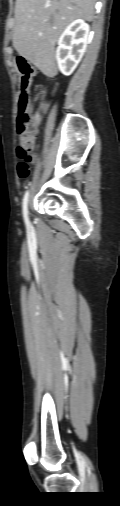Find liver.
Masks as SVG:
<instances>
[{"label":"liver","instance_id":"liver-1","mask_svg":"<svg viewBox=\"0 0 120 506\" xmlns=\"http://www.w3.org/2000/svg\"><path fill=\"white\" fill-rule=\"evenodd\" d=\"M96 0H16L13 47L46 75L57 73L55 45L74 20L94 19Z\"/></svg>","mask_w":120,"mask_h":506}]
</instances>
